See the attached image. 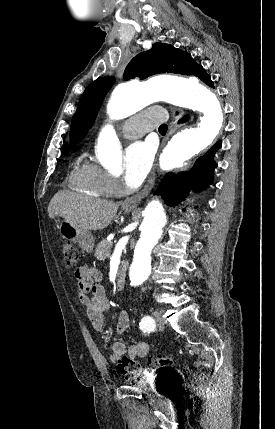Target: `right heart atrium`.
Returning <instances> with one entry per match:
<instances>
[{
    "label": "right heart atrium",
    "mask_w": 275,
    "mask_h": 429,
    "mask_svg": "<svg viewBox=\"0 0 275 429\" xmlns=\"http://www.w3.org/2000/svg\"><path fill=\"white\" fill-rule=\"evenodd\" d=\"M107 185L111 193L117 192L120 189V183L117 178L107 174Z\"/></svg>",
    "instance_id": "d8ad5b80"
}]
</instances>
